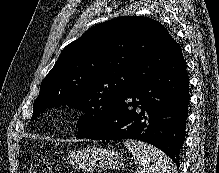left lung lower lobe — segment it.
I'll list each match as a JSON object with an SVG mask.
<instances>
[{
    "instance_id": "1",
    "label": "left lung lower lobe",
    "mask_w": 219,
    "mask_h": 173,
    "mask_svg": "<svg viewBox=\"0 0 219 173\" xmlns=\"http://www.w3.org/2000/svg\"><path fill=\"white\" fill-rule=\"evenodd\" d=\"M189 99L186 62L181 47L169 35L136 66L132 89L120 98L103 124L77 138L141 140L179 165Z\"/></svg>"
}]
</instances>
